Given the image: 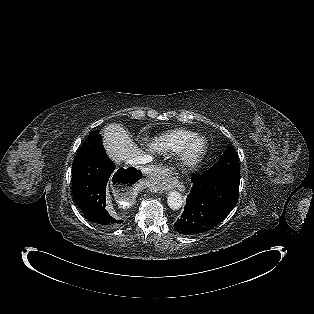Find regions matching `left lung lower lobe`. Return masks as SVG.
<instances>
[{"label": "left lung lower lobe", "mask_w": 314, "mask_h": 314, "mask_svg": "<svg viewBox=\"0 0 314 314\" xmlns=\"http://www.w3.org/2000/svg\"><path fill=\"white\" fill-rule=\"evenodd\" d=\"M191 182L184 212L174 224L183 235L208 231L231 212L238 200L240 174L203 172L193 175Z\"/></svg>", "instance_id": "left-lung-lower-lobe-1"}]
</instances>
